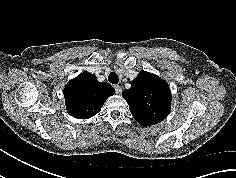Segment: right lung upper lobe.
<instances>
[{
    "label": "right lung upper lobe",
    "instance_id": "cb5924a9",
    "mask_svg": "<svg viewBox=\"0 0 236 178\" xmlns=\"http://www.w3.org/2000/svg\"><path fill=\"white\" fill-rule=\"evenodd\" d=\"M63 93L68 113L78 119H88L101 111L115 90L106 82H98L94 74L83 72L68 82Z\"/></svg>",
    "mask_w": 236,
    "mask_h": 178
}]
</instances>
